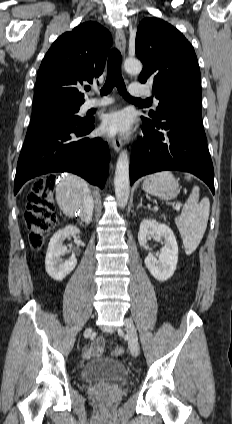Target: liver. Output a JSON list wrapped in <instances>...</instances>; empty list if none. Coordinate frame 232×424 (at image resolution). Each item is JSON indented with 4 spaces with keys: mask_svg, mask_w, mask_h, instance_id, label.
<instances>
[{
    "mask_svg": "<svg viewBox=\"0 0 232 424\" xmlns=\"http://www.w3.org/2000/svg\"><path fill=\"white\" fill-rule=\"evenodd\" d=\"M90 193L88 183L74 174L62 176L56 186V201L62 212L74 217L79 212L83 197Z\"/></svg>",
    "mask_w": 232,
    "mask_h": 424,
    "instance_id": "liver-1",
    "label": "liver"
}]
</instances>
